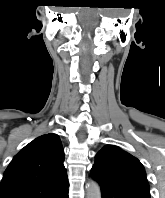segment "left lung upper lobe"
<instances>
[{"label":"left lung upper lobe","mask_w":165,"mask_h":198,"mask_svg":"<svg viewBox=\"0 0 165 198\" xmlns=\"http://www.w3.org/2000/svg\"><path fill=\"white\" fill-rule=\"evenodd\" d=\"M91 174L118 190L137 198H150V187L140 161L114 145H106L95 156Z\"/></svg>","instance_id":"obj_1"}]
</instances>
